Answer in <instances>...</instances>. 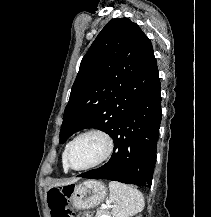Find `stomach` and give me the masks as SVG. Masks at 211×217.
I'll use <instances>...</instances> for the list:
<instances>
[{
  "instance_id": "obj_1",
  "label": "stomach",
  "mask_w": 211,
  "mask_h": 217,
  "mask_svg": "<svg viewBox=\"0 0 211 217\" xmlns=\"http://www.w3.org/2000/svg\"><path fill=\"white\" fill-rule=\"evenodd\" d=\"M70 189L72 190L71 202L77 209L95 207L105 199L107 194L105 184L99 180H87L82 184L70 187Z\"/></svg>"
}]
</instances>
